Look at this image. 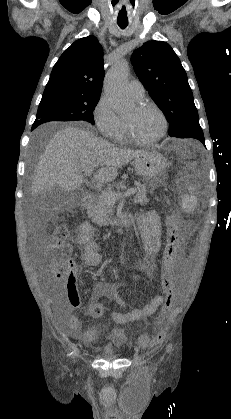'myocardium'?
Here are the masks:
<instances>
[{
	"instance_id": "1",
	"label": "myocardium",
	"mask_w": 231,
	"mask_h": 419,
	"mask_svg": "<svg viewBox=\"0 0 231 419\" xmlns=\"http://www.w3.org/2000/svg\"><path fill=\"white\" fill-rule=\"evenodd\" d=\"M137 108L139 110H153L156 113H158V115L160 116L161 120H162V129L161 131L153 138L150 139H141L138 138L137 136L134 135V133L131 130V127L129 125V123L126 121L125 126H126V132H127V136L128 138L138 144V145H151L154 144L156 142H158L159 140H161L165 134L167 133L168 130V120L167 117L165 115V113L155 104L153 103H139L137 105Z\"/></svg>"
}]
</instances>
